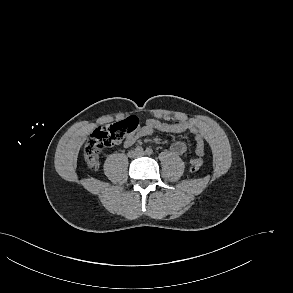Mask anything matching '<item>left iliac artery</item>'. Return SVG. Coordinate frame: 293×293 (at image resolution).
Returning <instances> with one entry per match:
<instances>
[{
  "label": "left iliac artery",
  "instance_id": "obj_1",
  "mask_svg": "<svg viewBox=\"0 0 293 293\" xmlns=\"http://www.w3.org/2000/svg\"><path fill=\"white\" fill-rule=\"evenodd\" d=\"M152 153H153L152 148L148 147V148L146 149V154H147V155H151Z\"/></svg>",
  "mask_w": 293,
  "mask_h": 293
}]
</instances>
